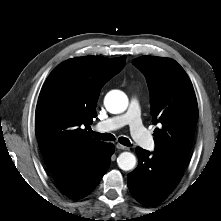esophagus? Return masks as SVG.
<instances>
[{"label":"esophagus","mask_w":221,"mask_h":221,"mask_svg":"<svg viewBox=\"0 0 221 221\" xmlns=\"http://www.w3.org/2000/svg\"><path fill=\"white\" fill-rule=\"evenodd\" d=\"M116 148L117 149H121V150H129L130 148L129 147H127V146H124V145H122V144H116Z\"/></svg>","instance_id":"esophagus-1"}]
</instances>
